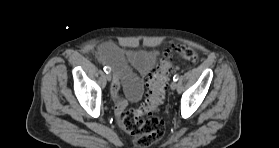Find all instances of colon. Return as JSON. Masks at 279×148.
Masks as SVG:
<instances>
[{
    "label": "colon",
    "mask_w": 279,
    "mask_h": 148,
    "mask_svg": "<svg viewBox=\"0 0 279 148\" xmlns=\"http://www.w3.org/2000/svg\"><path fill=\"white\" fill-rule=\"evenodd\" d=\"M174 57L183 58L190 63H195L198 59L196 51L190 47L176 45L169 47L161 64L148 76L143 103L122 111L119 115L121 128L134 138V144L138 148H146L164 135V121L153 113L163 102Z\"/></svg>",
    "instance_id": "obj_1"
}]
</instances>
